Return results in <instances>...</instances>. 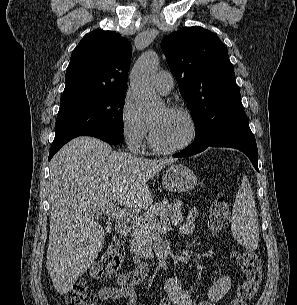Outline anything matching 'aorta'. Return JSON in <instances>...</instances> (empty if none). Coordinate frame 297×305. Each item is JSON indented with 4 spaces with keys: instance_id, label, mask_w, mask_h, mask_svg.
<instances>
[{
    "instance_id": "aorta-1",
    "label": "aorta",
    "mask_w": 297,
    "mask_h": 305,
    "mask_svg": "<svg viewBox=\"0 0 297 305\" xmlns=\"http://www.w3.org/2000/svg\"><path fill=\"white\" fill-rule=\"evenodd\" d=\"M158 63L159 58L155 52H145L137 60L130 74V87L136 107L143 114H155L161 107L153 82Z\"/></svg>"
}]
</instances>
